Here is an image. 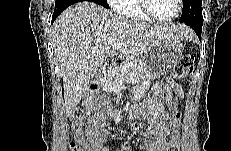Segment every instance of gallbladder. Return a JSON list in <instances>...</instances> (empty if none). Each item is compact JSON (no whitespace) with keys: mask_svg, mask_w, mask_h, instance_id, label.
Wrapping results in <instances>:
<instances>
[{"mask_svg":"<svg viewBox=\"0 0 231 151\" xmlns=\"http://www.w3.org/2000/svg\"><path fill=\"white\" fill-rule=\"evenodd\" d=\"M98 77H99V72L96 73V78H98Z\"/></svg>","mask_w":231,"mask_h":151,"instance_id":"gallbladder-1","label":"gallbladder"}]
</instances>
